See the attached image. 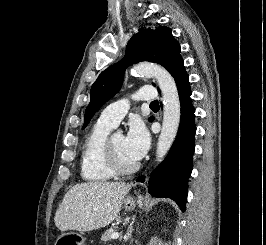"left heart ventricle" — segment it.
<instances>
[{"label":"left heart ventricle","mask_w":266,"mask_h":245,"mask_svg":"<svg viewBox=\"0 0 266 245\" xmlns=\"http://www.w3.org/2000/svg\"><path fill=\"white\" fill-rule=\"evenodd\" d=\"M122 135H113L111 139L112 149L119 165L123 168L132 166L135 162L128 156L124 149Z\"/></svg>","instance_id":"b2bd125f"}]
</instances>
